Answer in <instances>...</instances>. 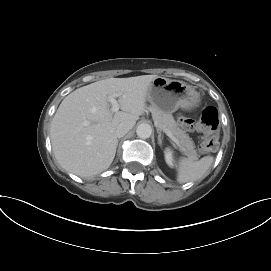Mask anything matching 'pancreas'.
Here are the masks:
<instances>
[{
    "label": "pancreas",
    "instance_id": "pancreas-1",
    "mask_svg": "<svg viewBox=\"0 0 271 271\" xmlns=\"http://www.w3.org/2000/svg\"><path fill=\"white\" fill-rule=\"evenodd\" d=\"M149 110L152 113L153 120L160 130H167L179 140L182 151L193 160L198 159L199 154L195 149L193 140L189 137L186 131L180 129L174 120L172 114L163 112L154 106H150Z\"/></svg>",
    "mask_w": 271,
    "mask_h": 271
}]
</instances>
